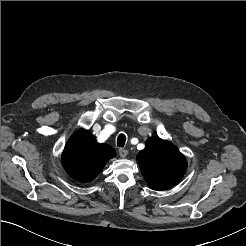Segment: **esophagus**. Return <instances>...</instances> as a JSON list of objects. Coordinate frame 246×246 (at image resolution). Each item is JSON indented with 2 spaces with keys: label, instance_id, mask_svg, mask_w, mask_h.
Returning a JSON list of instances; mask_svg holds the SVG:
<instances>
[{
  "label": "esophagus",
  "instance_id": "34e87169",
  "mask_svg": "<svg viewBox=\"0 0 246 246\" xmlns=\"http://www.w3.org/2000/svg\"><path fill=\"white\" fill-rule=\"evenodd\" d=\"M127 155H128V150L123 149V148H120V149H119V156H120L121 158H125Z\"/></svg>",
  "mask_w": 246,
  "mask_h": 246
}]
</instances>
